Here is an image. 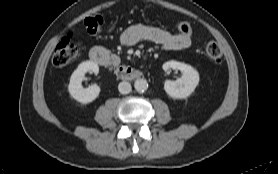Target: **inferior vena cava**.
Returning a JSON list of instances; mask_svg holds the SVG:
<instances>
[{"label":"inferior vena cava","instance_id":"obj_1","mask_svg":"<svg viewBox=\"0 0 278 174\" xmlns=\"http://www.w3.org/2000/svg\"><path fill=\"white\" fill-rule=\"evenodd\" d=\"M118 90L121 94H128L131 92V84L126 81L120 82L118 85Z\"/></svg>","mask_w":278,"mask_h":174}]
</instances>
